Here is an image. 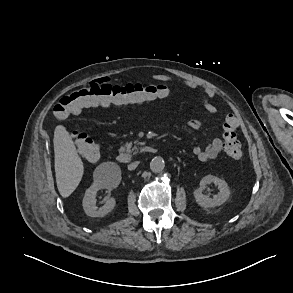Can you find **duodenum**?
Here are the masks:
<instances>
[{
    "label": "duodenum",
    "instance_id": "410a0bca",
    "mask_svg": "<svg viewBox=\"0 0 293 293\" xmlns=\"http://www.w3.org/2000/svg\"><path fill=\"white\" fill-rule=\"evenodd\" d=\"M141 151L144 153L155 154L157 152V149L152 146H143L141 148ZM116 159L121 164H129L132 160V155L129 153L122 152L117 155Z\"/></svg>",
    "mask_w": 293,
    "mask_h": 293
}]
</instances>
